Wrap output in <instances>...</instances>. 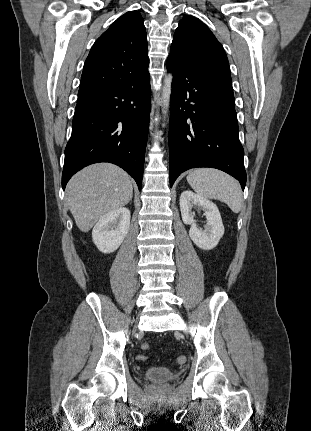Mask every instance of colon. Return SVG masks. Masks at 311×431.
Returning a JSON list of instances; mask_svg holds the SVG:
<instances>
[{
    "mask_svg": "<svg viewBox=\"0 0 311 431\" xmlns=\"http://www.w3.org/2000/svg\"><path fill=\"white\" fill-rule=\"evenodd\" d=\"M149 348H150V346L147 343H144V344L141 345V349L144 350V351L148 350ZM137 359L139 361H146L148 359V357L146 355H144V354H140V355L137 356ZM185 362H186V358L184 356H179V357L176 358V363L178 365H183V364H185Z\"/></svg>",
    "mask_w": 311,
    "mask_h": 431,
    "instance_id": "5ec220e1",
    "label": "colon"
}]
</instances>
